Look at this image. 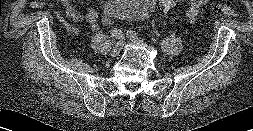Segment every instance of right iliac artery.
Returning a JSON list of instances; mask_svg holds the SVG:
<instances>
[{
    "label": "right iliac artery",
    "instance_id": "1",
    "mask_svg": "<svg viewBox=\"0 0 253 131\" xmlns=\"http://www.w3.org/2000/svg\"><path fill=\"white\" fill-rule=\"evenodd\" d=\"M112 36L115 37L118 40H122L124 39V34L121 30L119 29H113L111 32Z\"/></svg>",
    "mask_w": 253,
    "mask_h": 131
}]
</instances>
